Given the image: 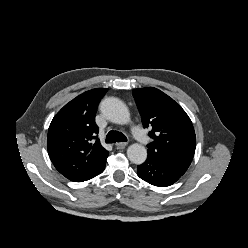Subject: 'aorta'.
Segmentation results:
<instances>
[{"label":"aorta","instance_id":"1","mask_svg":"<svg viewBox=\"0 0 248 248\" xmlns=\"http://www.w3.org/2000/svg\"><path fill=\"white\" fill-rule=\"evenodd\" d=\"M101 112L113 123L126 124L130 120V113L126 104L118 98L108 97L101 102ZM128 159L134 164H142L147 158L146 148L138 143L132 144L127 149Z\"/></svg>","mask_w":248,"mask_h":248}]
</instances>
